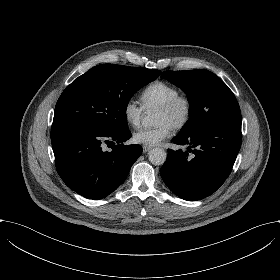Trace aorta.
Segmentation results:
<instances>
[{
  "label": "aorta",
  "mask_w": 280,
  "mask_h": 280,
  "mask_svg": "<svg viewBox=\"0 0 280 280\" xmlns=\"http://www.w3.org/2000/svg\"><path fill=\"white\" fill-rule=\"evenodd\" d=\"M154 122V115H149L142 119V125L145 127L152 126ZM148 159L153 165H162L166 160V152L160 147H154L148 152Z\"/></svg>",
  "instance_id": "aorta-1"
}]
</instances>
